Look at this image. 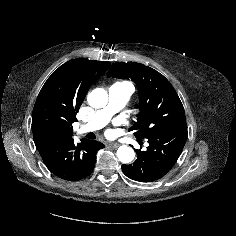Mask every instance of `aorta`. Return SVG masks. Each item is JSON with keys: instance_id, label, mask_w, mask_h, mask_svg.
<instances>
[{"instance_id": "aorta-1", "label": "aorta", "mask_w": 236, "mask_h": 236, "mask_svg": "<svg viewBox=\"0 0 236 236\" xmlns=\"http://www.w3.org/2000/svg\"><path fill=\"white\" fill-rule=\"evenodd\" d=\"M87 101L93 108H103L108 103L107 91L102 88L94 89L88 94ZM117 157L120 162L127 164L134 159L135 153L131 147L122 145L117 150Z\"/></svg>"}]
</instances>
